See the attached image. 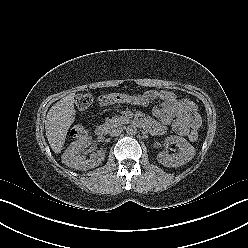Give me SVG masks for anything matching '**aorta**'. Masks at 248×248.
Returning a JSON list of instances; mask_svg holds the SVG:
<instances>
[{"mask_svg": "<svg viewBox=\"0 0 248 248\" xmlns=\"http://www.w3.org/2000/svg\"><path fill=\"white\" fill-rule=\"evenodd\" d=\"M127 135L133 136L137 133V128L135 125L131 124L126 127Z\"/></svg>", "mask_w": 248, "mask_h": 248, "instance_id": "1", "label": "aorta"}]
</instances>
